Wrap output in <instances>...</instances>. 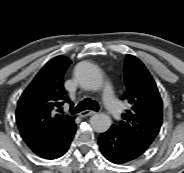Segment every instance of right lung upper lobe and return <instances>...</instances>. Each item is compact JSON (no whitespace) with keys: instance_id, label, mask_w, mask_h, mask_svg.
<instances>
[{"instance_id":"obj_1","label":"right lung upper lobe","mask_w":184,"mask_h":173,"mask_svg":"<svg viewBox=\"0 0 184 173\" xmlns=\"http://www.w3.org/2000/svg\"><path fill=\"white\" fill-rule=\"evenodd\" d=\"M70 64L63 56L51 59L19 99L16 122L30 148L51 141L75 125V117L63 113V106L70 102L64 89V74Z\"/></svg>"}]
</instances>
